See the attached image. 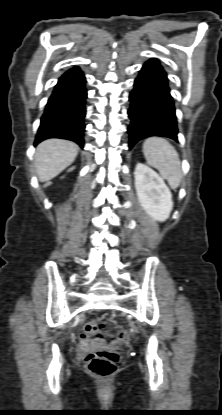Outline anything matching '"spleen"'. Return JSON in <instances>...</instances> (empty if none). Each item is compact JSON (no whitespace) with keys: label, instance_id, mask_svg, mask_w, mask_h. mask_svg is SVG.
<instances>
[{"label":"spleen","instance_id":"1","mask_svg":"<svg viewBox=\"0 0 222 415\" xmlns=\"http://www.w3.org/2000/svg\"><path fill=\"white\" fill-rule=\"evenodd\" d=\"M147 163L156 168L172 189L181 182V162L175 148L164 138L150 137L143 143Z\"/></svg>","mask_w":222,"mask_h":415}]
</instances>
